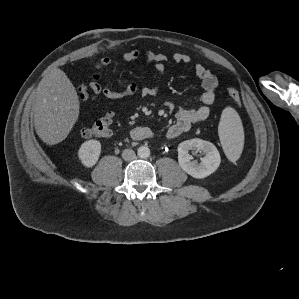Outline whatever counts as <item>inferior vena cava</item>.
Returning a JSON list of instances; mask_svg holds the SVG:
<instances>
[{
  "instance_id": "inferior-vena-cava-1",
  "label": "inferior vena cava",
  "mask_w": 299,
  "mask_h": 299,
  "mask_svg": "<svg viewBox=\"0 0 299 299\" xmlns=\"http://www.w3.org/2000/svg\"><path fill=\"white\" fill-rule=\"evenodd\" d=\"M122 158L125 161H132L136 158V154L133 150L131 149H125L122 153Z\"/></svg>"
}]
</instances>
